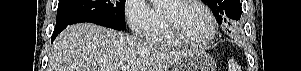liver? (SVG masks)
Masks as SVG:
<instances>
[{
	"label": "liver",
	"instance_id": "obj_1",
	"mask_svg": "<svg viewBox=\"0 0 301 71\" xmlns=\"http://www.w3.org/2000/svg\"><path fill=\"white\" fill-rule=\"evenodd\" d=\"M189 52L143 42L91 23L67 27L55 39L47 71H167Z\"/></svg>",
	"mask_w": 301,
	"mask_h": 71
}]
</instances>
